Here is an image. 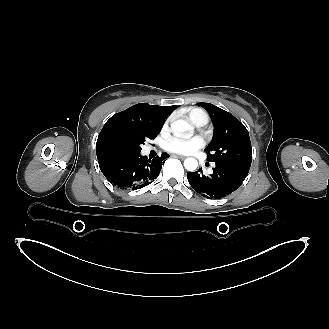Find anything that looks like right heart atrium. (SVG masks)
Listing matches in <instances>:
<instances>
[{"label":"right heart atrium","mask_w":329,"mask_h":329,"mask_svg":"<svg viewBox=\"0 0 329 329\" xmlns=\"http://www.w3.org/2000/svg\"><path fill=\"white\" fill-rule=\"evenodd\" d=\"M168 123H169V120H167L164 125H163V129H167L168 128Z\"/></svg>","instance_id":"d8ad5b80"}]
</instances>
